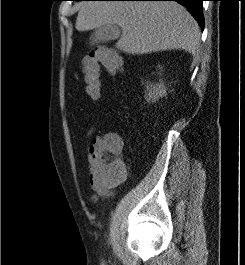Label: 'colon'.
Segmentation results:
<instances>
[{
    "instance_id": "obj_1",
    "label": "colon",
    "mask_w": 245,
    "mask_h": 265,
    "mask_svg": "<svg viewBox=\"0 0 245 265\" xmlns=\"http://www.w3.org/2000/svg\"><path fill=\"white\" fill-rule=\"evenodd\" d=\"M103 66L110 74L116 75L122 70V59L113 50L98 47L83 60V74L86 93L91 99H98L101 91L100 68ZM123 141L117 134H110L93 156L94 167L109 180L124 176V163L120 158Z\"/></svg>"
}]
</instances>
